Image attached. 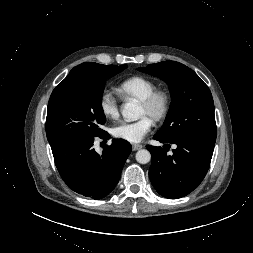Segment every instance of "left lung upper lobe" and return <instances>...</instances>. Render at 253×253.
<instances>
[{"mask_svg":"<svg viewBox=\"0 0 253 253\" xmlns=\"http://www.w3.org/2000/svg\"><path fill=\"white\" fill-rule=\"evenodd\" d=\"M138 70L160 77L171 92V107L157 136L167 141L194 137L215 143L213 98L192 69L176 61H163Z\"/></svg>","mask_w":253,"mask_h":253,"instance_id":"obj_1","label":"left lung upper lobe"}]
</instances>
